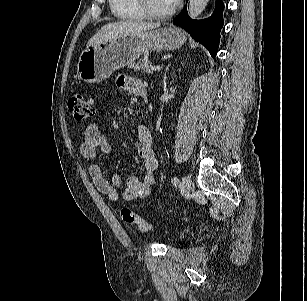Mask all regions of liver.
Instances as JSON below:
<instances>
[{
    "label": "liver",
    "mask_w": 307,
    "mask_h": 301,
    "mask_svg": "<svg viewBox=\"0 0 307 301\" xmlns=\"http://www.w3.org/2000/svg\"><path fill=\"white\" fill-rule=\"evenodd\" d=\"M160 23L144 21H119L104 25L87 43V47L101 42H107L121 35L137 34L158 28Z\"/></svg>",
    "instance_id": "obj_1"
}]
</instances>
